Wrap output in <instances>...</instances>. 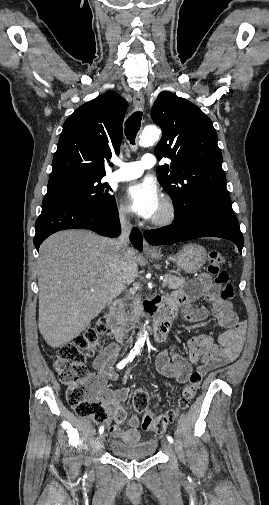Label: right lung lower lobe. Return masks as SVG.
Returning <instances> with one entry per match:
<instances>
[{
  "label": "right lung lower lobe",
  "instance_id": "98d812e1",
  "mask_svg": "<svg viewBox=\"0 0 269 505\" xmlns=\"http://www.w3.org/2000/svg\"><path fill=\"white\" fill-rule=\"evenodd\" d=\"M65 229H88L102 236L117 237L120 234L119 215L116 203L106 211H98L78 202L61 201L42 206L36 221L34 245L40 244L51 234ZM130 240L133 246L142 250V234L133 228Z\"/></svg>",
  "mask_w": 269,
  "mask_h": 505
}]
</instances>
